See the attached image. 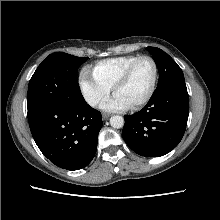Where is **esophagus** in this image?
<instances>
[{"mask_svg": "<svg viewBox=\"0 0 220 220\" xmlns=\"http://www.w3.org/2000/svg\"><path fill=\"white\" fill-rule=\"evenodd\" d=\"M109 117H110V114H108V113H103V114H102L103 120H106V119H108Z\"/></svg>", "mask_w": 220, "mask_h": 220, "instance_id": "1", "label": "esophagus"}]
</instances>
